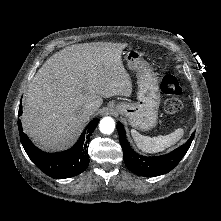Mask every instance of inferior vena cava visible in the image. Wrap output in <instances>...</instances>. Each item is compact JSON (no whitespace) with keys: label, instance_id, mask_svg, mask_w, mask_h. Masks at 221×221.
<instances>
[{"label":"inferior vena cava","instance_id":"obj_1","mask_svg":"<svg viewBox=\"0 0 221 221\" xmlns=\"http://www.w3.org/2000/svg\"><path fill=\"white\" fill-rule=\"evenodd\" d=\"M98 109V105L94 102H90L85 105L84 112L88 115H92Z\"/></svg>","mask_w":221,"mask_h":221}]
</instances>
